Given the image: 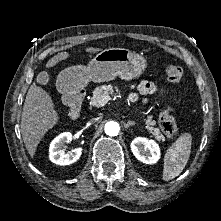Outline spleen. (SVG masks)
<instances>
[{"instance_id":"spleen-1","label":"spleen","mask_w":221,"mask_h":221,"mask_svg":"<svg viewBox=\"0 0 221 221\" xmlns=\"http://www.w3.org/2000/svg\"><path fill=\"white\" fill-rule=\"evenodd\" d=\"M191 144V134L184 133L167 149L163 164V180H172L183 171L190 157Z\"/></svg>"}]
</instances>
